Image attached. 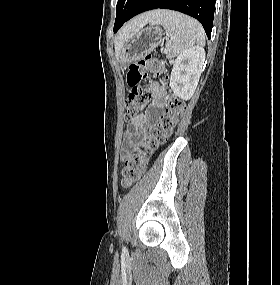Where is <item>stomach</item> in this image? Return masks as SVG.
Wrapping results in <instances>:
<instances>
[{
	"label": "stomach",
	"mask_w": 280,
	"mask_h": 285,
	"mask_svg": "<svg viewBox=\"0 0 280 285\" xmlns=\"http://www.w3.org/2000/svg\"><path fill=\"white\" fill-rule=\"evenodd\" d=\"M162 40V29L155 24H150L148 28L139 30L124 42L120 53V62L125 65L144 58Z\"/></svg>",
	"instance_id": "obj_1"
}]
</instances>
